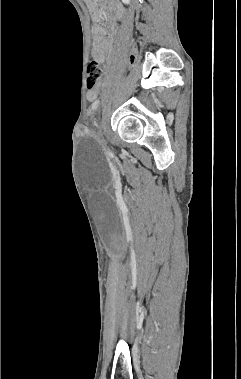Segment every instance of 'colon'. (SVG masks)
<instances>
[{
  "instance_id": "obj_1",
  "label": "colon",
  "mask_w": 241,
  "mask_h": 379,
  "mask_svg": "<svg viewBox=\"0 0 241 379\" xmlns=\"http://www.w3.org/2000/svg\"><path fill=\"white\" fill-rule=\"evenodd\" d=\"M139 50H140L139 44H132L129 47L128 59L126 61L128 65H135L138 62ZM87 75H88L87 85L88 87L92 88L101 76V67L96 59H91L89 61L88 67H87ZM96 93L98 97L104 96V86L102 84H99L97 86Z\"/></svg>"
}]
</instances>
